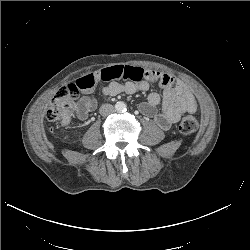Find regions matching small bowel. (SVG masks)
<instances>
[{
    "instance_id": "obj_1",
    "label": "small bowel",
    "mask_w": 250,
    "mask_h": 250,
    "mask_svg": "<svg viewBox=\"0 0 250 250\" xmlns=\"http://www.w3.org/2000/svg\"><path fill=\"white\" fill-rule=\"evenodd\" d=\"M100 82H107L102 88V93L106 96L144 92L151 84H158L162 89V95L150 93L147 100L140 105V110L145 116L153 118L156 125L163 130L169 129L182 114L194 113L197 109L195 97L182 81L137 66H113L76 80L75 84L82 92L76 107L77 117L82 121L86 120L96 107V101L90 93ZM159 105L160 111L157 109ZM62 124L67 126L69 120Z\"/></svg>"
}]
</instances>
